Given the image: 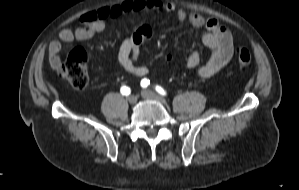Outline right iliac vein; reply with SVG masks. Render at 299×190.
<instances>
[{
	"mask_svg": "<svg viewBox=\"0 0 299 190\" xmlns=\"http://www.w3.org/2000/svg\"><path fill=\"white\" fill-rule=\"evenodd\" d=\"M128 102L130 103V104H136V102H137V97L135 96V95H130L129 97H128Z\"/></svg>",
	"mask_w": 299,
	"mask_h": 190,
	"instance_id": "right-iliac-vein-1",
	"label": "right iliac vein"
}]
</instances>
